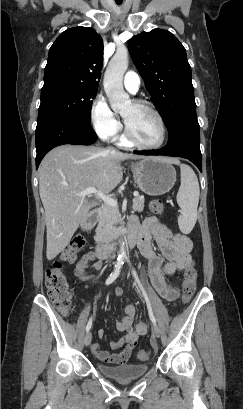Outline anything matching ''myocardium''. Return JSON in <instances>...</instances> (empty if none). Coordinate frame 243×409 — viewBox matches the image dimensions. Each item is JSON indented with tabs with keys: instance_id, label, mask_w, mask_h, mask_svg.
Here are the masks:
<instances>
[{
	"instance_id": "f54148a6",
	"label": "myocardium",
	"mask_w": 243,
	"mask_h": 409,
	"mask_svg": "<svg viewBox=\"0 0 243 409\" xmlns=\"http://www.w3.org/2000/svg\"><path fill=\"white\" fill-rule=\"evenodd\" d=\"M131 102L136 106L146 108L148 111H150L153 114V116L156 118V120L158 121L160 125L161 138L157 143H154V144L143 142L134 136L129 125L125 121V134H126L127 140L131 144H134L136 146L143 147V148H148V149H157L163 146L167 139V128H166L165 121L163 117L161 116V114L159 113V111L152 104H150L148 101L143 100V99H134Z\"/></svg>"
}]
</instances>
